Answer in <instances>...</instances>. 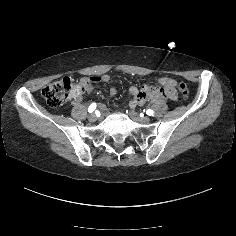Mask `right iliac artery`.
<instances>
[{
  "mask_svg": "<svg viewBox=\"0 0 236 236\" xmlns=\"http://www.w3.org/2000/svg\"><path fill=\"white\" fill-rule=\"evenodd\" d=\"M95 109H96V103H92L88 108V112L92 113Z\"/></svg>",
  "mask_w": 236,
  "mask_h": 236,
  "instance_id": "1",
  "label": "right iliac artery"
}]
</instances>
